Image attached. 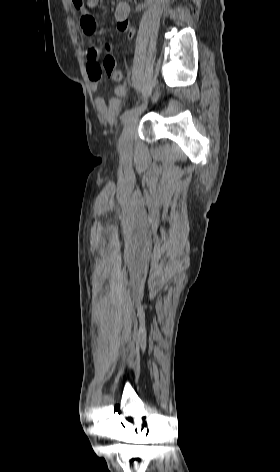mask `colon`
Instances as JSON below:
<instances>
[{
    "label": "colon",
    "instance_id": "colon-1",
    "mask_svg": "<svg viewBox=\"0 0 280 472\" xmlns=\"http://www.w3.org/2000/svg\"><path fill=\"white\" fill-rule=\"evenodd\" d=\"M99 0H82L79 2H87L89 5H95ZM105 73L109 78L115 81H119L122 78V71L117 68L115 60L113 59H104L103 62Z\"/></svg>",
    "mask_w": 280,
    "mask_h": 472
}]
</instances>
